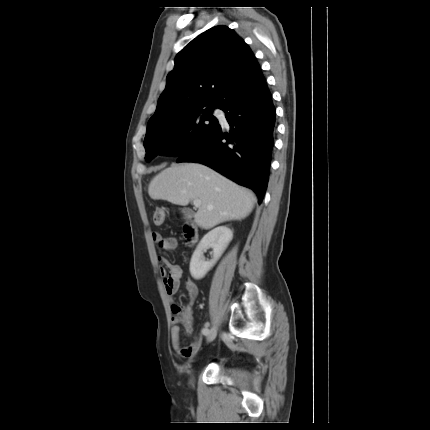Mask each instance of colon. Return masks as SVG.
Here are the masks:
<instances>
[{
	"label": "colon",
	"instance_id": "colon-1",
	"mask_svg": "<svg viewBox=\"0 0 430 430\" xmlns=\"http://www.w3.org/2000/svg\"><path fill=\"white\" fill-rule=\"evenodd\" d=\"M153 220H154V223L156 225H162L164 223V221H165V212H164V210L161 209V208H157L154 211ZM172 312H173V314L176 317H179L181 315L185 316V314H183L182 306L180 304H178V303H175V304L172 305Z\"/></svg>",
	"mask_w": 430,
	"mask_h": 430
}]
</instances>
